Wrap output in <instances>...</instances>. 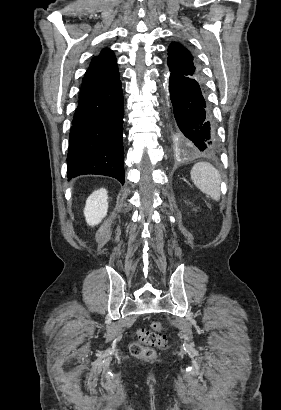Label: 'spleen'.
<instances>
[{
    "mask_svg": "<svg viewBox=\"0 0 281 410\" xmlns=\"http://www.w3.org/2000/svg\"><path fill=\"white\" fill-rule=\"evenodd\" d=\"M190 174L198 189L215 201L220 199L221 176L214 166L208 162H198L192 167Z\"/></svg>",
    "mask_w": 281,
    "mask_h": 410,
    "instance_id": "spleen-1",
    "label": "spleen"
}]
</instances>
